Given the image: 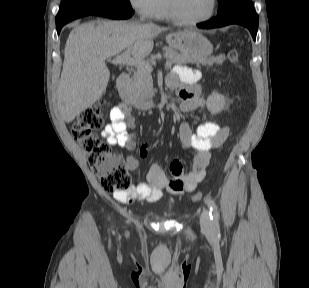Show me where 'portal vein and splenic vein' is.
<instances>
[{
    "label": "portal vein and splenic vein",
    "mask_w": 309,
    "mask_h": 288,
    "mask_svg": "<svg viewBox=\"0 0 309 288\" xmlns=\"http://www.w3.org/2000/svg\"><path fill=\"white\" fill-rule=\"evenodd\" d=\"M129 48L126 52H124L121 55H118L114 57L110 62L115 65H129V66H134L137 69H145L148 71H152V67L150 64L142 59L136 58V57H131L129 53ZM166 65H170L169 62H166Z\"/></svg>",
    "instance_id": "obj_1"
}]
</instances>
